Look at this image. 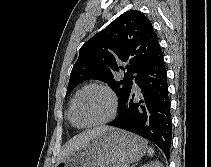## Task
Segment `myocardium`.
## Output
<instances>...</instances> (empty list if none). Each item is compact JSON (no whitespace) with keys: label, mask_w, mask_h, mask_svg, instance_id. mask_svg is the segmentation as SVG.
Instances as JSON below:
<instances>
[{"label":"myocardium","mask_w":211,"mask_h":167,"mask_svg":"<svg viewBox=\"0 0 211 167\" xmlns=\"http://www.w3.org/2000/svg\"><path fill=\"white\" fill-rule=\"evenodd\" d=\"M100 89L103 90L104 92H106L110 98L111 101V112L110 114L103 120L97 121V122H93V123H89V124H81L79 122H77L74 118V106L75 103L78 99V97L84 93L85 91L89 90V89ZM117 110H118V99L116 97V94L114 93V91L107 85L102 84V83H90L85 85L84 87H82L73 97L71 104H70V108H69V119L71 121V123L78 127V128H92V127H98V126H102L105 125L109 122H111L116 114H117Z\"/></svg>","instance_id":"obj_1"}]
</instances>
